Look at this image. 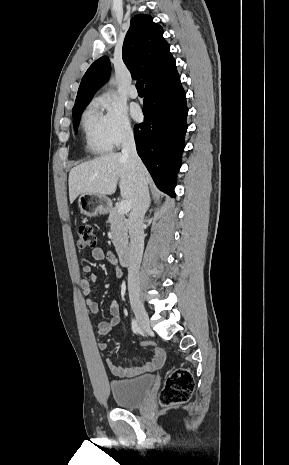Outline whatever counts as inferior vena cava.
Here are the masks:
<instances>
[{"label": "inferior vena cava", "mask_w": 289, "mask_h": 465, "mask_svg": "<svg viewBox=\"0 0 289 465\" xmlns=\"http://www.w3.org/2000/svg\"><path fill=\"white\" fill-rule=\"evenodd\" d=\"M122 155L129 158L137 178V197L129 215L128 228L130 234V254L128 266V291L130 301L139 300V269L144 249L143 221L149 205L148 183L141 175L144 165L139 158L131 129H127L122 137Z\"/></svg>", "instance_id": "602c4592"}]
</instances>
